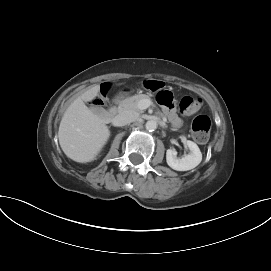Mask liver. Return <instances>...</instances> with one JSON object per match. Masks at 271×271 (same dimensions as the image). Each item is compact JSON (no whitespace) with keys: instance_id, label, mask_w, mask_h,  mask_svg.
Masks as SVG:
<instances>
[{"instance_id":"obj_1","label":"liver","mask_w":271,"mask_h":271,"mask_svg":"<svg viewBox=\"0 0 271 271\" xmlns=\"http://www.w3.org/2000/svg\"><path fill=\"white\" fill-rule=\"evenodd\" d=\"M99 91L100 86L94 85L82 93L69 105L60 122V146L68 158L79 163L96 159L110 136L102 118L85 105L94 100Z\"/></svg>"}]
</instances>
